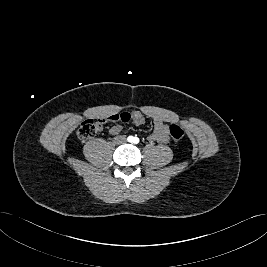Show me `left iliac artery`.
Segmentation results:
<instances>
[{"label":"left iliac artery","instance_id":"obj_1","mask_svg":"<svg viewBox=\"0 0 267 267\" xmlns=\"http://www.w3.org/2000/svg\"><path fill=\"white\" fill-rule=\"evenodd\" d=\"M133 143L138 144L139 143V138L138 137H134L133 138Z\"/></svg>","mask_w":267,"mask_h":267}]
</instances>
